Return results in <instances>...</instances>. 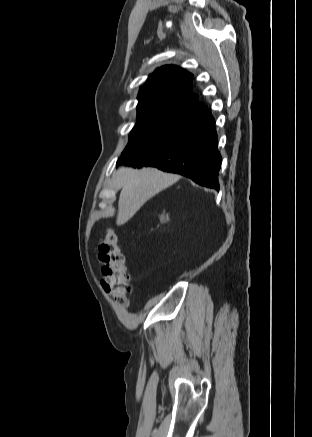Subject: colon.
Segmentation results:
<instances>
[{
  "instance_id": "colon-1",
  "label": "colon",
  "mask_w": 312,
  "mask_h": 437,
  "mask_svg": "<svg viewBox=\"0 0 312 437\" xmlns=\"http://www.w3.org/2000/svg\"><path fill=\"white\" fill-rule=\"evenodd\" d=\"M98 250L99 260L102 263L101 286L119 307L125 308L128 305L130 277L116 233L107 232L100 240Z\"/></svg>"
}]
</instances>
